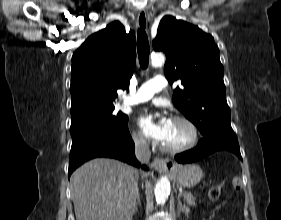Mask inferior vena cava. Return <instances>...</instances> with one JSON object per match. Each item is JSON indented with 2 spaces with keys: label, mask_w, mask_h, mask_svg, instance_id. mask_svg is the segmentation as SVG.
Segmentation results:
<instances>
[{
  "label": "inferior vena cava",
  "mask_w": 281,
  "mask_h": 220,
  "mask_svg": "<svg viewBox=\"0 0 281 220\" xmlns=\"http://www.w3.org/2000/svg\"><path fill=\"white\" fill-rule=\"evenodd\" d=\"M135 155L141 163L147 164L149 162L151 152L149 145L144 139H135Z\"/></svg>",
  "instance_id": "obj_1"
}]
</instances>
